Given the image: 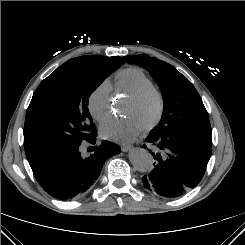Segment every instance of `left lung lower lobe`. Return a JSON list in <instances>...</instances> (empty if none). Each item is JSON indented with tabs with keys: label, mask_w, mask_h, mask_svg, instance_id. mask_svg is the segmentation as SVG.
<instances>
[{
	"label": "left lung lower lobe",
	"mask_w": 245,
	"mask_h": 245,
	"mask_svg": "<svg viewBox=\"0 0 245 245\" xmlns=\"http://www.w3.org/2000/svg\"><path fill=\"white\" fill-rule=\"evenodd\" d=\"M146 141L156 142L160 152L149 150L157 162L151 173L142 178L147 189L155 188L158 194L175 198L200 182L211 156V145L185 135L149 134ZM163 152L165 156L161 155Z\"/></svg>",
	"instance_id": "left-lung-lower-lobe-1"
}]
</instances>
